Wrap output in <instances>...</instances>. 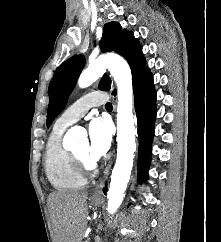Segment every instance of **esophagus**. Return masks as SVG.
<instances>
[{
  "mask_svg": "<svg viewBox=\"0 0 221 242\" xmlns=\"http://www.w3.org/2000/svg\"><path fill=\"white\" fill-rule=\"evenodd\" d=\"M112 164H113V160H111L108 165L106 166L104 172H103V175L102 177L100 178L99 182L95 185V187L92 189L91 191V196L94 197V198H97V197H102V194H103V185L105 184L108 176H109V173H110V170H111V167H112Z\"/></svg>",
  "mask_w": 221,
  "mask_h": 242,
  "instance_id": "obj_1",
  "label": "esophagus"
}]
</instances>
